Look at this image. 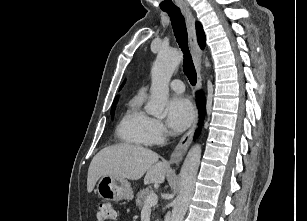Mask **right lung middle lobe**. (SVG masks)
I'll return each mask as SVG.
<instances>
[{
  "label": "right lung middle lobe",
  "mask_w": 307,
  "mask_h": 221,
  "mask_svg": "<svg viewBox=\"0 0 307 221\" xmlns=\"http://www.w3.org/2000/svg\"><path fill=\"white\" fill-rule=\"evenodd\" d=\"M117 101H115L112 105V108H111V115L113 116L114 115V110H115V104H116Z\"/></svg>",
  "instance_id": "dd1d6c3e"
}]
</instances>
